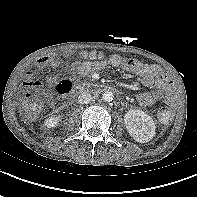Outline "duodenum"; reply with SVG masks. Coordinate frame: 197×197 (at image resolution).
I'll return each instance as SVG.
<instances>
[{
  "label": "duodenum",
  "mask_w": 197,
  "mask_h": 197,
  "mask_svg": "<svg viewBox=\"0 0 197 197\" xmlns=\"http://www.w3.org/2000/svg\"><path fill=\"white\" fill-rule=\"evenodd\" d=\"M85 90L89 91V92H93V93H101V92H106V91H115V92H119V90L117 88H113L109 85H92L90 87H77L75 89L76 93H82Z\"/></svg>",
  "instance_id": "duodenum-1"
}]
</instances>
